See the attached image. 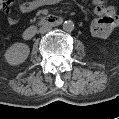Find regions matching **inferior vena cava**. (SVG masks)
<instances>
[{
    "mask_svg": "<svg viewBox=\"0 0 119 119\" xmlns=\"http://www.w3.org/2000/svg\"><path fill=\"white\" fill-rule=\"evenodd\" d=\"M50 29H51V26H42L40 27L39 32L43 34V33L48 32Z\"/></svg>",
    "mask_w": 119,
    "mask_h": 119,
    "instance_id": "inferior-vena-cava-1",
    "label": "inferior vena cava"
}]
</instances>
